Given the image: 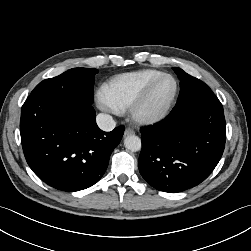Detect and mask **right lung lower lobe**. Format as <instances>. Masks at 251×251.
Segmentation results:
<instances>
[{
  "mask_svg": "<svg viewBox=\"0 0 251 251\" xmlns=\"http://www.w3.org/2000/svg\"><path fill=\"white\" fill-rule=\"evenodd\" d=\"M123 133V126L100 130L91 104L30 95L21 110V142L28 165L46 184L62 191L94 185Z\"/></svg>",
  "mask_w": 251,
  "mask_h": 251,
  "instance_id": "right-lung-lower-lobe-1",
  "label": "right lung lower lobe"
}]
</instances>
